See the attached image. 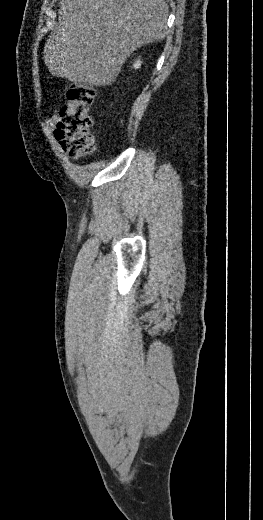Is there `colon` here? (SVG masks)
I'll return each instance as SVG.
<instances>
[{
  "instance_id": "1",
  "label": "colon",
  "mask_w": 263,
  "mask_h": 520,
  "mask_svg": "<svg viewBox=\"0 0 263 520\" xmlns=\"http://www.w3.org/2000/svg\"><path fill=\"white\" fill-rule=\"evenodd\" d=\"M94 99L95 89L89 84H72L67 90V103L60 112L54 134L72 159L90 155L95 149L90 133Z\"/></svg>"
}]
</instances>
